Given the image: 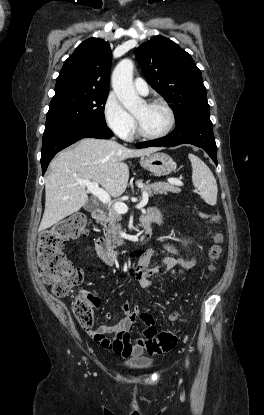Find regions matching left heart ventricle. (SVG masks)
<instances>
[{
    "mask_svg": "<svg viewBox=\"0 0 264 415\" xmlns=\"http://www.w3.org/2000/svg\"><path fill=\"white\" fill-rule=\"evenodd\" d=\"M142 130L147 134H158L165 130L169 115L161 106H148L143 103L135 112Z\"/></svg>",
    "mask_w": 264,
    "mask_h": 415,
    "instance_id": "b2bd125f",
    "label": "left heart ventricle"
}]
</instances>
